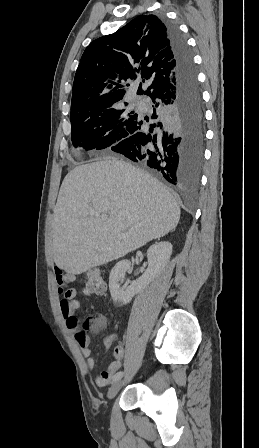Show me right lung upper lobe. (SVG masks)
<instances>
[{
	"label": "right lung upper lobe",
	"instance_id": "right-lung-upper-lobe-1",
	"mask_svg": "<svg viewBox=\"0 0 259 448\" xmlns=\"http://www.w3.org/2000/svg\"><path fill=\"white\" fill-rule=\"evenodd\" d=\"M165 24L140 15L85 49L74 78L71 114L122 102L127 80L143 78L137 94L157 96L173 88L175 63ZM127 104V103H125Z\"/></svg>",
	"mask_w": 259,
	"mask_h": 448
}]
</instances>
